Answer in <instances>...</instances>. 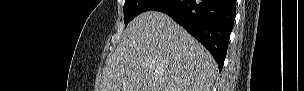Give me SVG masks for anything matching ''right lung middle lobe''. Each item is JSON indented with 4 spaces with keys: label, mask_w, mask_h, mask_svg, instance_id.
Returning a JSON list of instances; mask_svg holds the SVG:
<instances>
[{
    "label": "right lung middle lobe",
    "mask_w": 304,
    "mask_h": 91,
    "mask_svg": "<svg viewBox=\"0 0 304 91\" xmlns=\"http://www.w3.org/2000/svg\"><path fill=\"white\" fill-rule=\"evenodd\" d=\"M154 0H125L124 23L127 25L134 17L144 12Z\"/></svg>",
    "instance_id": "1"
}]
</instances>
